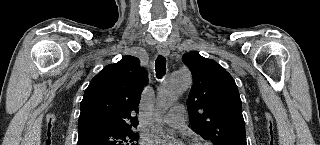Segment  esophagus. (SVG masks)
I'll return each mask as SVG.
<instances>
[{
    "label": "esophagus",
    "mask_w": 320,
    "mask_h": 145,
    "mask_svg": "<svg viewBox=\"0 0 320 145\" xmlns=\"http://www.w3.org/2000/svg\"><path fill=\"white\" fill-rule=\"evenodd\" d=\"M157 51H158V53H160L162 55H165V56L169 55V49H168L167 45L164 43H159L157 45Z\"/></svg>",
    "instance_id": "1"
}]
</instances>
